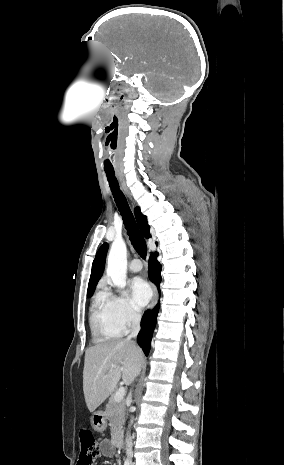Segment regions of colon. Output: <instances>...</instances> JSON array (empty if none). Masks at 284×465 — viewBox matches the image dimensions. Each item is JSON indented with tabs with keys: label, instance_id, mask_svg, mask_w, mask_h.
Segmentation results:
<instances>
[{
	"label": "colon",
	"instance_id": "1",
	"mask_svg": "<svg viewBox=\"0 0 284 465\" xmlns=\"http://www.w3.org/2000/svg\"><path fill=\"white\" fill-rule=\"evenodd\" d=\"M79 440L81 446L79 465H92V460L97 451L96 441L92 432L87 429L80 430Z\"/></svg>",
	"mask_w": 284,
	"mask_h": 465
}]
</instances>
